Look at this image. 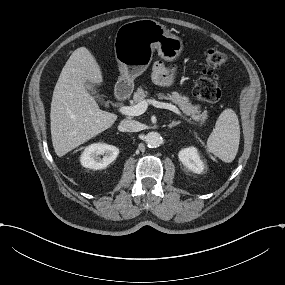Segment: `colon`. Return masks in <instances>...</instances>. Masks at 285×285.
Wrapping results in <instances>:
<instances>
[{"instance_id":"colon-1","label":"colon","mask_w":285,"mask_h":285,"mask_svg":"<svg viewBox=\"0 0 285 285\" xmlns=\"http://www.w3.org/2000/svg\"><path fill=\"white\" fill-rule=\"evenodd\" d=\"M227 56L217 48H210L205 52V69L194 83V96L203 102L220 104L222 100L221 88L213 71L225 64Z\"/></svg>"}]
</instances>
